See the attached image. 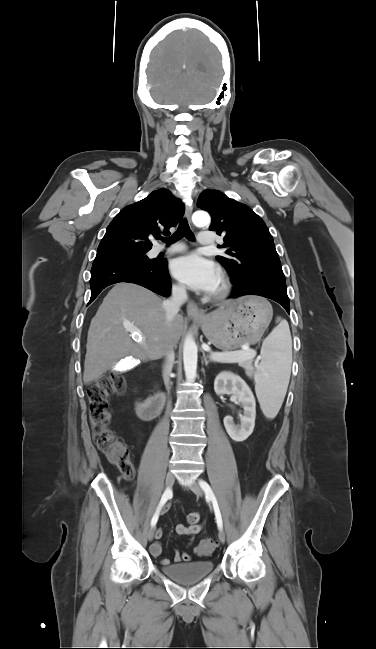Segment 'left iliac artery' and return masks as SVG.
I'll return each instance as SVG.
<instances>
[{
  "label": "left iliac artery",
  "instance_id": "left-iliac-artery-1",
  "mask_svg": "<svg viewBox=\"0 0 376 649\" xmlns=\"http://www.w3.org/2000/svg\"><path fill=\"white\" fill-rule=\"evenodd\" d=\"M199 484H200L201 488L203 489V491L205 492L206 498L212 502L214 512H215L217 525H218V527L220 529H222L223 528V522H222L221 512H220V509H219V506H218L217 499H216L210 485L207 482L203 481V480H200Z\"/></svg>",
  "mask_w": 376,
  "mask_h": 649
}]
</instances>
